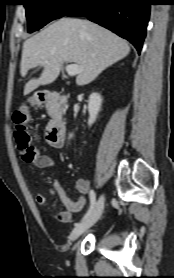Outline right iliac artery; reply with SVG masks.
<instances>
[{
    "mask_svg": "<svg viewBox=\"0 0 174 278\" xmlns=\"http://www.w3.org/2000/svg\"><path fill=\"white\" fill-rule=\"evenodd\" d=\"M89 197H90V208H89L88 212L85 214V216L83 217V220L87 219L91 215V213L95 207L96 194H95L94 190H90Z\"/></svg>",
    "mask_w": 174,
    "mask_h": 278,
    "instance_id": "82829eb1",
    "label": "right iliac artery"
}]
</instances>
